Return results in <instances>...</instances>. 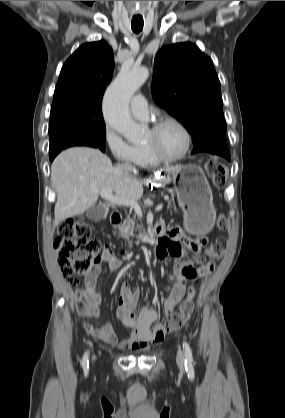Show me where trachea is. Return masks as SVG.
Wrapping results in <instances>:
<instances>
[{
	"instance_id": "1",
	"label": "trachea",
	"mask_w": 285,
	"mask_h": 418,
	"mask_svg": "<svg viewBox=\"0 0 285 418\" xmlns=\"http://www.w3.org/2000/svg\"><path fill=\"white\" fill-rule=\"evenodd\" d=\"M132 30L138 34L143 29V18L142 17H133L131 22Z\"/></svg>"
}]
</instances>
